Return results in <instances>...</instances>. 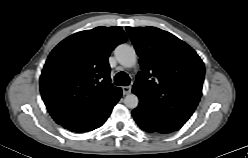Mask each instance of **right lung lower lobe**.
<instances>
[{
  "mask_svg": "<svg viewBox=\"0 0 248 158\" xmlns=\"http://www.w3.org/2000/svg\"><path fill=\"white\" fill-rule=\"evenodd\" d=\"M122 95L120 90L99 112L89 118L69 125H62L64 128L73 132H87L100 127L109 117L113 107Z\"/></svg>",
  "mask_w": 248,
  "mask_h": 158,
  "instance_id": "98d812e1",
  "label": "right lung lower lobe"
}]
</instances>
